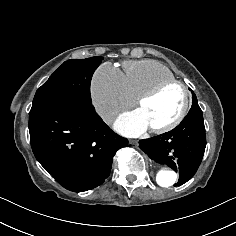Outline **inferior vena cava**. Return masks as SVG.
Returning a JSON list of instances; mask_svg holds the SVG:
<instances>
[{"label":"inferior vena cava","instance_id":"602c4592","mask_svg":"<svg viewBox=\"0 0 236 236\" xmlns=\"http://www.w3.org/2000/svg\"><path fill=\"white\" fill-rule=\"evenodd\" d=\"M97 113L103 117L106 122L113 121V118L116 114L113 108L111 107H100L97 109Z\"/></svg>","mask_w":236,"mask_h":236}]
</instances>
